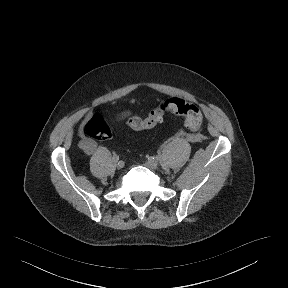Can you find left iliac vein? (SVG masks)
<instances>
[{
  "mask_svg": "<svg viewBox=\"0 0 288 288\" xmlns=\"http://www.w3.org/2000/svg\"><path fill=\"white\" fill-rule=\"evenodd\" d=\"M146 166L150 169H157L159 167V164H158V161L156 159L149 158L146 161Z\"/></svg>",
  "mask_w": 288,
  "mask_h": 288,
  "instance_id": "obj_1",
  "label": "left iliac vein"
}]
</instances>
